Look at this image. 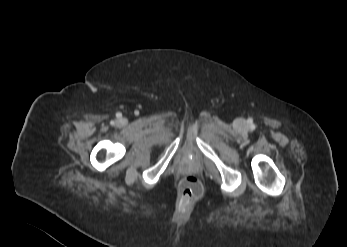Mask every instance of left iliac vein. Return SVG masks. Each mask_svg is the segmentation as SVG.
I'll list each match as a JSON object with an SVG mask.
<instances>
[{
  "label": "left iliac vein",
  "mask_w": 347,
  "mask_h": 247,
  "mask_svg": "<svg viewBox=\"0 0 347 247\" xmlns=\"http://www.w3.org/2000/svg\"><path fill=\"white\" fill-rule=\"evenodd\" d=\"M242 123H243V121L241 119L237 121L238 125H241Z\"/></svg>",
  "instance_id": "1"
}]
</instances>
